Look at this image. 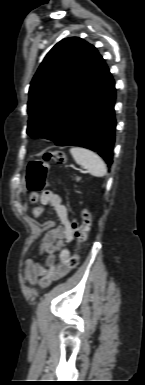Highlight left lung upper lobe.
I'll return each instance as SVG.
<instances>
[{
	"label": "left lung upper lobe",
	"mask_w": 145,
	"mask_h": 385,
	"mask_svg": "<svg viewBox=\"0 0 145 385\" xmlns=\"http://www.w3.org/2000/svg\"><path fill=\"white\" fill-rule=\"evenodd\" d=\"M99 56L96 48L71 37L46 55L29 88L27 134L52 139L82 93Z\"/></svg>",
	"instance_id": "1"
}]
</instances>
